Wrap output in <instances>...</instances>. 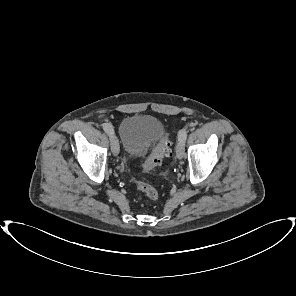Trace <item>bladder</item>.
<instances>
[{
  "label": "bladder",
  "instance_id": "31cf9c89",
  "mask_svg": "<svg viewBox=\"0 0 296 296\" xmlns=\"http://www.w3.org/2000/svg\"><path fill=\"white\" fill-rule=\"evenodd\" d=\"M164 132L163 124L156 117L135 114L126 117L120 124L119 134L123 149L128 156L136 157Z\"/></svg>",
  "mask_w": 296,
  "mask_h": 296
}]
</instances>
